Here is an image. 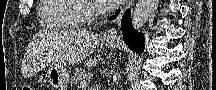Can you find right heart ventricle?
I'll return each mask as SVG.
<instances>
[{
  "mask_svg": "<svg viewBox=\"0 0 216 90\" xmlns=\"http://www.w3.org/2000/svg\"><path fill=\"white\" fill-rule=\"evenodd\" d=\"M78 0H42L38 19L41 28H87L84 19H73L79 15ZM48 63V62H46Z\"/></svg>",
  "mask_w": 216,
  "mask_h": 90,
  "instance_id": "1",
  "label": "right heart ventricle"
}]
</instances>
